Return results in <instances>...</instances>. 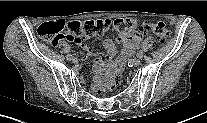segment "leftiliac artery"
I'll list each match as a JSON object with an SVG mask.
<instances>
[{"label": "left iliac artery", "instance_id": "obj_1", "mask_svg": "<svg viewBox=\"0 0 207 123\" xmlns=\"http://www.w3.org/2000/svg\"><path fill=\"white\" fill-rule=\"evenodd\" d=\"M137 57H138V58H142V57H143V52H142V51H139V52L137 53Z\"/></svg>", "mask_w": 207, "mask_h": 123}]
</instances>
